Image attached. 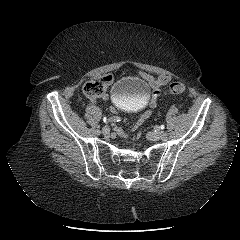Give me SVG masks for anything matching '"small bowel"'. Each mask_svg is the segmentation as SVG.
Returning a JSON list of instances; mask_svg holds the SVG:
<instances>
[{"label":"small bowel","mask_w":240,"mask_h":240,"mask_svg":"<svg viewBox=\"0 0 240 240\" xmlns=\"http://www.w3.org/2000/svg\"><path fill=\"white\" fill-rule=\"evenodd\" d=\"M138 75L143 80H145L150 85V87L153 89L150 105H151V107H155L156 102H157V97L159 94V88L166 85L170 81V79H171L170 76L166 75V74H161L157 77H154L146 72H140ZM106 78H107V83H110L112 81V76H106ZM101 98L103 101L106 102L109 100L110 97L108 94L103 93L101 95ZM110 113L113 114L116 118L122 117V112L119 109H117L116 107H111ZM149 116H150L149 111L144 112L137 120V123H134L130 127V129H128L126 132L123 131V127L121 125L116 126L115 127L116 134L120 135V137L122 139L129 138L131 135H133L138 130V128H142L144 126L143 122H145L146 124H149L151 122V119L149 118Z\"/></svg>","instance_id":"c3829d8e"}]
</instances>
